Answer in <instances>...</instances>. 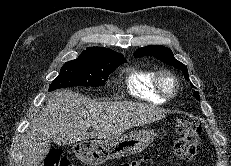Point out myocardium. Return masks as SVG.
<instances>
[{
	"label": "myocardium",
	"instance_id": "f54148a6",
	"mask_svg": "<svg viewBox=\"0 0 231 166\" xmlns=\"http://www.w3.org/2000/svg\"><path fill=\"white\" fill-rule=\"evenodd\" d=\"M168 78L172 81L173 87L171 90H167L164 86V79ZM153 88L155 93L165 100L173 99L179 91L180 83L178 77L170 70L163 69L156 72L153 79Z\"/></svg>",
	"mask_w": 231,
	"mask_h": 166
}]
</instances>
